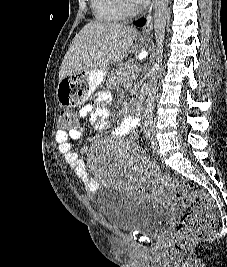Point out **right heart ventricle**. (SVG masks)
Listing matches in <instances>:
<instances>
[{
  "label": "right heart ventricle",
  "mask_w": 227,
  "mask_h": 267,
  "mask_svg": "<svg viewBox=\"0 0 227 267\" xmlns=\"http://www.w3.org/2000/svg\"><path fill=\"white\" fill-rule=\"evenodd\" d=\"M95 18L104 23H115L123 19L118 0H91Z\"/></svg>",
  "instance_id": "1"
}]
</instances>
